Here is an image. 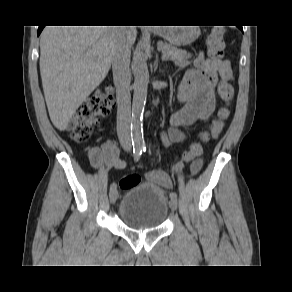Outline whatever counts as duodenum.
<instances>
[{"mask_svg":"<svg viewBox=\"0 0 292 292\" xmlns=\"http://www.w3.org/2000/svg\"><path fill=\"white\" fill-rule=\"evenodd\" d=\"M120 103H123V97L120 95Z\"/></svg>","mask_w":292,"mask_h":292,"instance_id":"duodenum-1","label":"duodenum"}]
</instances>
